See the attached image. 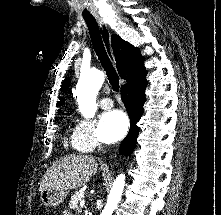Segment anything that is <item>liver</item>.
Masks as SVG:
<instances>
[{
  "label": "liver",
  "mask_w": 221,
  "mask_h": 215,
  "mask_svg": "<svg viewBox=\"0 0 221 215\" xmlns=\"http://www.w3.org/2000/svg\"><path fill=\"white\" fill-rule=\"evenodd\" d=\"M98 163L91 155H68L56 160L46 171L39 187L56 190L77 189L97 172Z\"/></svg>",
  "instance_id": "6515ba94"
}]
</instances>
